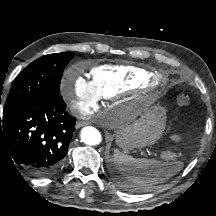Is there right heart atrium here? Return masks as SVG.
<instances>
[{
	"label": "right heart atrium",
	"instance_id": "d8ad5b80",
	"mask_svg": "<svg viewBox=\"0 0 216 216\" xmlns=\"http://www.w3.org/2000/svg\"><path fill=\"white\" fill-rule=\"evenodd\" d=\"M69 106L79 115L91 113L96 108L99 96L92 83L81 75L67 73L61 84Z\"/></svg>",
	"mask_w": 216,
	"mask_h": 216
}]
</instances>
